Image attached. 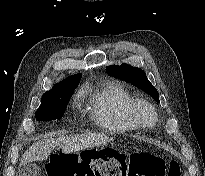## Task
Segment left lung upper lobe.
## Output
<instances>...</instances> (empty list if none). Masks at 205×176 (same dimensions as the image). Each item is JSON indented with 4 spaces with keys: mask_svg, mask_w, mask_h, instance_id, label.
Instances as JSON below:
<instances>
[{
    "mask_svg": "<svg viewBox=\"0 0 205 176\" xmlns=\"http://www.w3.org/2000/svg\"><path fill=\"white\" fill-rule=\"evenodd\" d=\"M106 71L126 82H129L136 87L142 89L146 93L150 94L157 102H159V94L156 88L147 79L145 72L136 67H132L128 64H122L120 66L111 65L106 67Z\"/></svg>",
    "mask_w": 205,
    "mask_h": 176,
    "instance_id": "left-lung-upper-lobe-1",
    "label": "left lung upper lobe"
}]
</instances>
